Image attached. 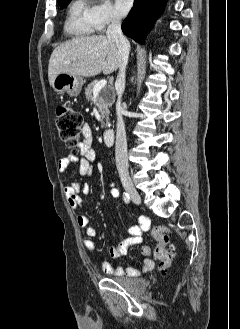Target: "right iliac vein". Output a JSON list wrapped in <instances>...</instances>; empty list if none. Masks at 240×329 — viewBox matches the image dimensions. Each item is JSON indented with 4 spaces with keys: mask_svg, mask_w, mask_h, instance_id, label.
I'll return each instance as SVG.
<instances>
[{
    "mask_svg": "<svg viewBox=\"0 0 240 329\" xmlns=\"http://www.w3.org/2000/svg\"><path fill=\"white\" fill-rule=\"evenodd\" d=\"M121 181H122L124 189L129 194L132 201L136 204H140L141 203V197H140L138 191L136 190V188L134 187L131 179L129 177L122 176Z\"/></svg>",
    "mask_w": 240,
    "mask_h": 329,
    "instance_id": "obj_1",
    "label": "right iliac vein"
}]
</instances>
